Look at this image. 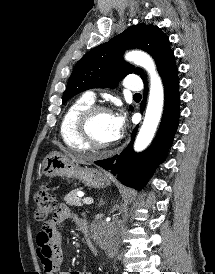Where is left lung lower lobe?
Listing matches in <instances>:
<instances>
[{"label": "left lung lower lobe", "mask_w": 215, "mask_h": 274, "mask_svg": "<svg viewBox=\"0 0 215 274\" xmlns=\"http://www.w3.org/2000/svg\"><path fill=\"white\" fill-rule=\"evenodd\" d=\"M162 81L165 91L164 111L161 125L152 145L142 153L137 154L133 151V141L137 131V127H135L131 143L119 155L94 162L98 166L110 170L124 185L137 190L145 185L154 167L165 159L178 127L180 94L177 66L165 73L162 76ZM147 92L148 86L145 83L141 111L145 106Z\"/></svg>", "instance_id": "left-lung-lower-lobe-1"}]
</instances>
